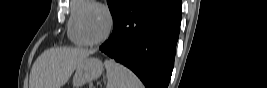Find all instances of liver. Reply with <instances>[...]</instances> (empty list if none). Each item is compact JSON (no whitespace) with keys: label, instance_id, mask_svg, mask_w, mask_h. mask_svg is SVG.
<instances>
[{"label":"liver","instance_id":"liver-1","mask_svg":"<svg viewBox=\"0 0 267 88\" xmlns=\"http://www.w3.org/2000/svg\"><path fill=\"white\" fill-rule=\"evenodd\" d=\"M93 51L73 48H52L44 51L34 62L29 88H61L78 63Z\"/></svg>","mask_w":267,"mask_h":88}]
</instances>
